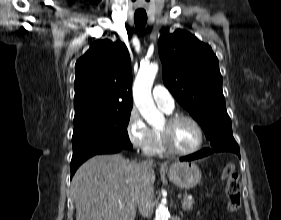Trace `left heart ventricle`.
Instances as JSON below:
<instances>
[{"label":"left heart ventricle","mask_w":281,"mask_h":220,"mask_svg":"<svg viewBox=\"0 0 281 220\" xmlns=\"http://www.w3.org/2000/svg\"><path fill=\"white\" fill-rule=\"evenodd\" d=\"M166 121L160 127L164 129ZM170 138L174 147L179 150H190L198 143V132L195 126L186 120L177 122L170 130Z\"/></svg>","instance_id":"obj_1"}]
</instances>
